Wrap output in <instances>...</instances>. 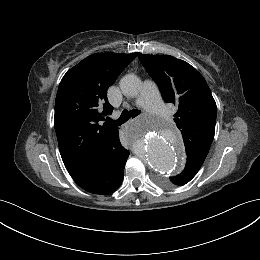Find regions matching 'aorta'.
I'll list each match as a JSON object with an SVG mask.
<instances>
[{
    "label": "aorta",
    "instance_id": "762f6f07",
    "mask_svg": "<svg viewBox=\"0 0 260 260\" xmlns=\"http://www.w3.org/2000/svg\"><path fill=\"white\" fill-rule=\"evenodd\" d=\"M120 89L125 96L133 97L139 93L141 81L134 75H126L120 81ZM141 134L145 135L142 156L147 165L164 175L181 169L182 146L174 128L149 119L130 132L133 138Z\"/></svg>",
    "mask_w": 260,
    "mask_h": 260
}]
</instances>
